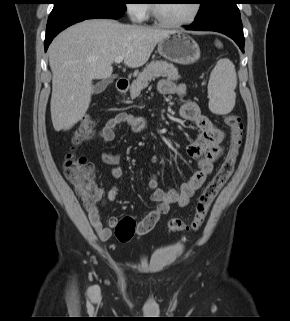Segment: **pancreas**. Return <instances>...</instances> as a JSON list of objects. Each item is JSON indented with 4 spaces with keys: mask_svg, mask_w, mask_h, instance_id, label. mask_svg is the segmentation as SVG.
Listing matches in <instances>:
<instances>
[{
    "mask_svg": "<svg viewBox=\"0 0 290 321\" xmlns=\"http://www.w3.org/2000/svg\"><path fill=\"white\" fill-rule=\"evenodd\" d=\"M159 77H167L170 80H178V70L175 66L167 61H152L140 72L133 81L130 88L131 98H136L141 91L148 87L149 82Z\"/></svg>",
    "mask_w": 290,
    "mask_h": 321,
    "instance_id": "pancreas-1",
    "label": "pancreas"
}]
</instances>
